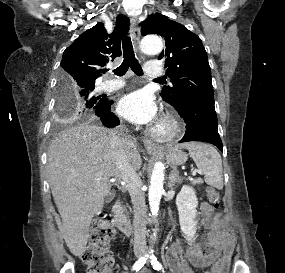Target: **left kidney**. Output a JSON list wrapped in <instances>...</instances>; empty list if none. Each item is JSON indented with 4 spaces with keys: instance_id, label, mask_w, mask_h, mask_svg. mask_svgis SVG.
<instances>
[{
    "instance_id": "1",
    "label": "left kidney",
    "mask_w": 285,
    "mask_h": 273,
    "mask_svg": "<svg viewBox=\"0 0 285 273\" xmlns=\"http://www.w3.org/2000/svg\"><path fill=\"white\" fill-rule=\"evenodd\" d=\"M181 231L187 240H192L196 233L198 200L193 188L183 186L176 197Z\"/></svg>"
}]
</instances>
